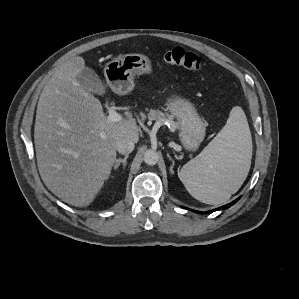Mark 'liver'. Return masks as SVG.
<instances>
[{"label":"liver","instance_id":"6515ba94","mask_svg":"<svg viewBox=\"0 0 299 299\" xmlns=\"http://www.w3.org/2000/svg\"><path fill=\"white\" fill-rule=\"evenodd\" d=\"M82 57L65 62L45 85L37 105L34 143L46 187L63 202L90 205L109 179L117 144L137 143L139 128L131 113L110 122L98 98L76 78Z\"/></svg>","mask_w":299,"mask_h":299}]
</instances>
